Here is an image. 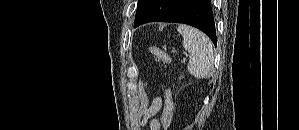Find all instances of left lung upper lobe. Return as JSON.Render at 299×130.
<instances>
[{
  "instance_id": "left-lung-upper-lobe-1",
  "label": "left lung upper lobe",
  "mask_w": 299,
  "mask_h": 130,
  "mask_svg": "<svg viewBox=\"0 0 299 130\" xmlns=\"http://www.w3.org/2000/svg\"><path fill=\"white\" fill-rule=\"evenodd\" d=\"M150 0H139L138 1V7H137V11H136V16H135V23H137L138 21H140L141 19L144 18V16L147 15L148 10H149V4Z\"/></svg>"
}]
</instances>
